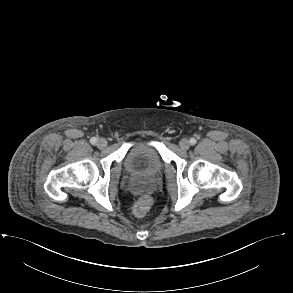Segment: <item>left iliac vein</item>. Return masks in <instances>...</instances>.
Here are the masks:
<instances>
[{
	"mask_svg": "<svg viewBox=\"0 0 293 293\" xmlns=\"http://www.w3.org/2000/svg\"><path fill=\"white\" fill-rule=\"evenodd\" d=\"M179 146L182 150H187L190 147V142L188 139L183 138L180 140Z\"/></svg>",
	"mask_w": 293,
	"mask_h": 293,
	"instance_id": "1",
	"label": "left iliac vein"
}]
</instances>
